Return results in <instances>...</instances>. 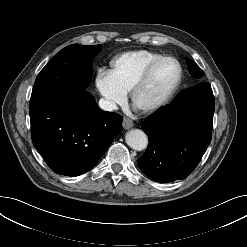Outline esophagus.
<instances>
[{
  "label": "esophagus",
  "instance_id": "1",
  "mask_svg": "<svg viewBox=\"0 0 247 247\" xmlns=\"http://www.w3.org/2000/svg\"><path fill=\"white\" fill-rule=\"evenodd\" d=\"M133 121L127 117H124L123 119V128L124 129H130L133 127Z\"/></svg>",
  "mask_w": 247,
  "mask_h": 247
}]
</instances>
